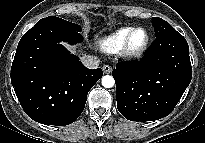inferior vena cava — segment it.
Wrapping results in <instances>:
<instances>
[{"label":"inferior vena cava","instance_id":"inferior-vena-cava-1","mask_svg":"<svg viewBox=\"0 0 205 143\" xmlns=\"http://www.w3.org/2000/svg\"><path fill=\"white\" fill-rule=\"evenodd\" d=\"M80 60L88 69H96L100 63L99 58L93 55H84L80 58Z\"/></svg>","mask_w":205,"mask_h":143}]
</instances>
